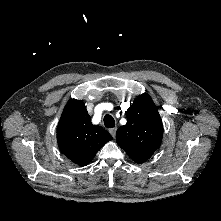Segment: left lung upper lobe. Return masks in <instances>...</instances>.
<instances>
[{
	"label": "left lung upper lobe",
	"instance_id": "1",
	"mask_svg": "<svg viewBox=\"0 0 221 221\" xmlns=\"http://www.w3.org/2000/svg\"><path fill=\"white\" fill-rule=\"evenodd\" d=\"M127 124L118 128V145L136 163L148 160L161 144L163 125L151 97L140 95L126 111Z\"/></svg>",
	"mask_w": 221,
	"mask_h": 221
}]
</instances>
